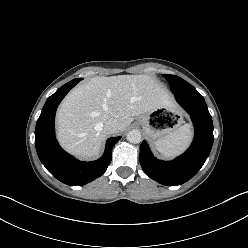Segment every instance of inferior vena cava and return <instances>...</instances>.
<instances>
[{
  "instance_id": "602c4592",
  "label": "inferior vena cava",
  "mask_w": 248,
  "mask_h": 248,
  "mask_svg": "<svg viewBox=\"0 0 248 248\" xmlns=\"http://www.w3.org/2000/svg\"><path fill=\"white\" fill-rule=\"evenodd\" d=\"M118 129H119V123L114 118L109 119L104 124V130L109 135L118 133Z\"/></svg>"
}]
</instances>
